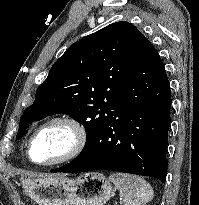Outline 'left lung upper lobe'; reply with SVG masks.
Segmentation results:
<instances>
[{
	"mask_svg": "<svg viewBox=\"0 0 199 205\" xmlns=\"http://www.w3.org/2000/svg\"><path fill=\"white\" fill-rule=\"evenodd\" d=\"M145 36L131 23H112L72 44L37 88L35 101L20 118L16 139L29 124L63 113L85 127L87 142L78 161L101 131L107 111L123 88Z\"/></svg>",
	"mask_w": 199,
	"mask_h": 205,
	"instance_id": "obj_1",
	"label": "left lung upper lobe"
}]
</instances>
